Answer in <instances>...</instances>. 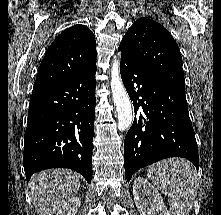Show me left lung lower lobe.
I'll list each match as a JSON object with an SVG mask.
<instances>
[{
	"label": "left lung lower lobe",
	"instance_id": "0a47b994",
	"mask_svg": "<svg viewBox=\"0 0 221 215\" xmlns=\"http://www.w3.org/2000/svg\"><path fill=\"white\" fill-rule=\"evenodd\" d=\"M120 72L135 118L124 140L127 181L164 158L184 157L199 168L198 148L185 90L143 71L122 56Z\"/></svg>",
	"mask_w": 221,
	"mask_h": 215
}]
</instances>
